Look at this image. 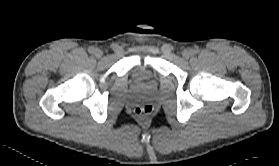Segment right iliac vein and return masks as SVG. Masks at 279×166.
<instances>
[{
    "mask_svg": "<svg viewBox=\"0 0 279 166\" xmlns=\"http://www.w3.org/2000/svg\"><path fill=\"white\" fill-rule=\"evenodd\" d=\"M94 54L96 57H101L103 52L100 49H95Z\"/></svg>",
    "mask_w": 279,
    "mask_h": 166,
    "instance_id": "1",
    "label": "right iliac vein"
}]
</instances>
